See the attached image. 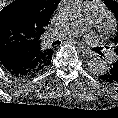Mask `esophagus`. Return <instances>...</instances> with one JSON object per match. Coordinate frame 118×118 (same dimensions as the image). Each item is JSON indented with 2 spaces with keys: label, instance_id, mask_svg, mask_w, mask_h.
I'll return each mask as SVG.
<instances>
[{
  "label": "esophagus",
  "instance_id": "esophagus-1",
  "mask_svg": "<svg viewBox=\"0 0 118 118\" xmlns=\"http://www.w3.org/2000/svg\"><path fill=\"white\" fill-rule=\"evenodd\" d=\"M80 49H81L82 53L84 55H86L87 57H92L93 56V53L89 49L84 47L83 45H80Z\"/></svg>",
  "mask_w": 118,
  "mask_h": 118
}]
</instances>
